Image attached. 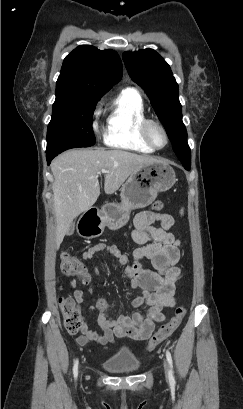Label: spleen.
Here are the masks:
<instances>
[{
	"label": "spleen",
	"mask_w": 243,
	"mask_h": 409,
	"mask_svg": "<svg viewBox=\"0 0 243 409\" xmlns=\"http://www.w3.org/2000/svg\"><path fill=\"white\" fill-rule=\"evenodd\" d=\"M180 213L183 214V209H181Z\"/></svg>",
	"instance_id": "obj_1"
}]
</instances>
